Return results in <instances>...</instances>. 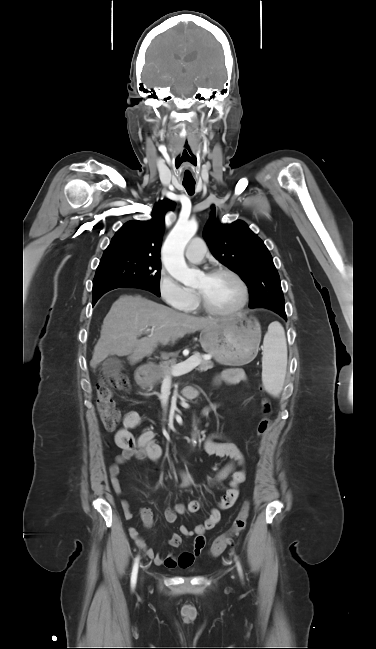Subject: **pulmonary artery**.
<instances>
[{
	"mask_svg": "<svg viewBox=\"0 0 376 649\" xmlns=\"http://www.w3.org/2000/svg\"><path fill=\"white\" fill-rule=\"evenodd\" d=\"M206 252V246L204 241L201 238H193L187 248H186V257L192 262H200Z\"/></svg>",
	"mask_w": 376,
	"mask_h": 649,
	"instance_id": "obj_1",
	"label": "pulmonary artery"
}]
</instances>
